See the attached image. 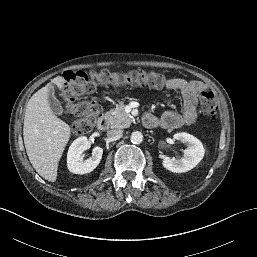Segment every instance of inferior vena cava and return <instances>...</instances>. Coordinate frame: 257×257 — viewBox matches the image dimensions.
I'll return each instance as SVG.
<instances>
[{"label": "inferior vena cava", "instance_id": "inferior-vena-cava-1", "mask_svg": "<svg viewBox=\"0 0 257 257\" xmlns=\"http://www.w3.org/2000/svg\"><path fill=\"white\" fill-rule=\"evenodd\" d=\"M123 131L120 129H112L107 131V136L113 139H118L122 136Z\"/></svg>", "mask_w": 257, "mask_h": 257}]
</instances>
